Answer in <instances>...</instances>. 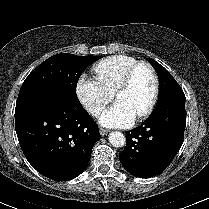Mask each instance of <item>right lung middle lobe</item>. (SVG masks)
Listing matches in <instances>:
<instances>
[{"mask_svg":"<svg viewBox=\"0 0 209 209\" xmlns=\"http://www.w3.org/2000/svg\"><path fill=\"white\" fill-rule=\"evenodd\" d=\"M99 56H76L69 53L54 55L35 68L22 84L16 106L50 90H58L77 98L76 86L85 68Z\"/></svg>","mask_w":209,"mask_h":209,"instance_id":"dd1d6c3e","label":"right lung middle lobe"}]
</instances>
